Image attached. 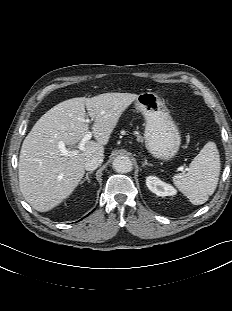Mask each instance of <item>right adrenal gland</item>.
<instances>
[{"label": "right adrenal gland", "instance_id": "1", "mask_svg": "<svg viewBox=\"0 0 232 311\" xmlns=\"http://www.w3.org/2000/svg\"><path fill=\"white\" fill-rule=\"evenodd\" d=\"M92 173H93V171L87 172L85 178L80 182V184H83L85 181L90 183L89 175L92 174Z\"/></svg>", "mask_w": 232, "mask_h": 311}]
</instances>
